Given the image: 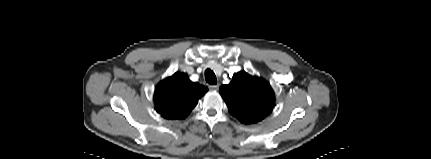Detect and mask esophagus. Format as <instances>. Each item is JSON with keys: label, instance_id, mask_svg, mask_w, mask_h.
Returning a JSON list of instances; mask_svg holds the SVG:
<instances>
[{"label": "esophagus", "instance_id": "34e87169", "mask_svg": "<svg viewBox=\"0 0 431 159\" xmlns=\"http://www.w3.org/2000/svg\"><path fill=\"white\" fill-rule=\"evenodd\" d=\"M209 88H210V90L217 91L219 89V85L218 84L210 85Z\"/></svg>", "mask_w": 431, "mask_h": 159}]
</instances>
